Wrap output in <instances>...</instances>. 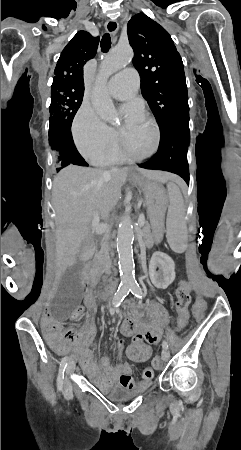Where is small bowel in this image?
<instances>
[{"label": "small bowel", "mask_w": 241, "mask_h": 450, "mask_svg": "<svg viewBox=\"0 0 241 450\" xmlns=\"http://www.w3.org/2000/svg\"><path fill=\"white\" fill-rule=\"evenodd\" d=\"M86 295L84 299L85 305L90 311L95 310L96 295L93 290L94 285L91 282L86 283ZM156 311V316H148L146 323L148 325H157V327H150L148 331L145 329L140 330L139 324H128L131 320H126L122 324V333L125 336H131L132 342L126 349L127 357L137 363H142L144 360H148L149 355H153L152 344H155L160 339L161 330L167 328L169 318L165 316V311L161 309L159 305ZM39 319H52V310H47L45 307L38 312ZM57 324L54 321L45 320L42 323L44 328L43 333L47 336L46 341L49 344H56L59 341L58 336L51 335ZM65 339L67 341H73L75 344L74 352L79 355L80 362L84 372L98 387L103 390H108L112 387L115 381H119L120 386L124 389L133 390L136 388L148 387L154 379L153 369H144L142 373V380L139 383H135L131 377V367L128 363L122 362L123 352L122 343L119 345V352L116 355L117 364L112 365L110 359L107 356H103L99 359L97 365L92 359V355L88 350V346L93 340L95 334V327L93 323H88L82 329H76L68 327L65 330ZM150 338H155V341H151ZM61 353L66 354L70 349L64 345L57 347Z\"/></svg>", "instance_id": "obj_1"}]
</instances>
